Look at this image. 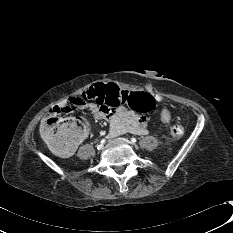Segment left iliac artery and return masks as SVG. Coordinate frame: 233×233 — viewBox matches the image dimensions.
<instances>
[{
  "mask_svg": "<svg viewBox=\"0 0 233 233\" xmlns=\"http://www.w3.org/2000/svg\"><path fill=\"white\" fill-rule=\"evenodd\" d=\"M137 142V139L136 138H131V143H136Z\"/></svg>",
  "mask_w": 233,
  "mask_h": 233,
  "instance_id": "obj_1",
  "label": "left iliac artery"
}]
</instances>
